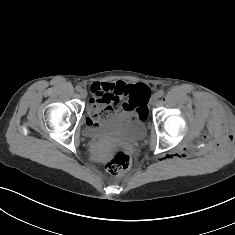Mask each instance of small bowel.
Returning <instances> with one entry per match:
<instances>
[{"label": "small bowel", "instance_id": "small-bowel-1", "mask_svg": "<svg viewBox=\"0 0 235 235\" xmlns=\"http://www.w3.org/2000/svg\"><path fill=\"white\" fill-rule=\"evenodd\" d=\"M137 85H127L120 81L93 83L90 87L92 96L89 101V116L93 117L100 110L105 108L111 110L112 116L113 113L119 109L130 111V109L126 107V101L121 103V100L123 98L127 99L131 94V89Z\"/></svg>", "mask_w": 235, "mask_h": 235}]
</instances>
